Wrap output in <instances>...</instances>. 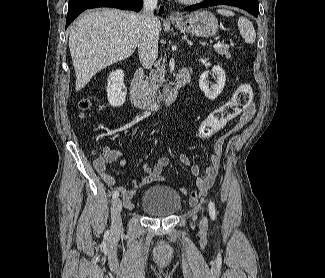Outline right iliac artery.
<instances>
[{
    "instance_id": "right-iliac-artery-1",
    "label": "right iliac artery",
    "mask_w": 325,
    "mask_h": 278,
    "mask_svg": "<svg viewBox=\"0 0 325 278\" xmlns=\"http://www.w3.org/2000/svg\"><path fill=\"white\" fill-rule=\"evenodd\" d=\"M119 196V192L115 191L112 195V199L115 200Z\"/></svg>"
}]
</instances>
